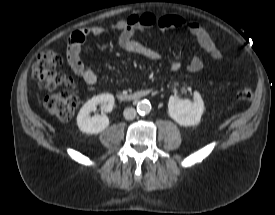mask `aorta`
Returning a JSON list of instances; mask_svg holds the SVG:
<instances>
[{
  "mask_svg": "<svg viewBox=\"0 0 275 215\" xmlns=\"http://www.w3.org/2000/svg\"><path fill=\"white\" fill-rule=\"evenodd\" d=\"M137 111L140 115H145L150 113L151 111V104L147 100L139 101L137 104Z\"/></svg>",
  "mask_w": 275,
  "mask_h": 215,
  "instance_id": "obj_1",
  "label": "aorta"
}]
</instances>
